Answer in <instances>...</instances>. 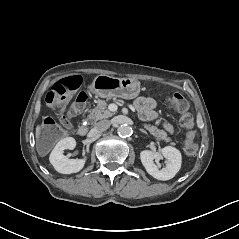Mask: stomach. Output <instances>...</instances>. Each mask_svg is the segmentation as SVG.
<instances>
[{
  "mask_svg": "<svg viewBox=\"0 0 239 239\" xmlns=\"http://www.w3.org/2000/svg\"><path fill=\"white\" fill-rule=\"evenodd\" d=\"M88 90L101 98L134 99L140 93V82L130 77L120 78L100 74L94 78Z\"/></svg>",
  "mask_w": 239,
  "mask_h": 239,
  "instance_id": "0dacf381",
  "label": "stomach"
}]
</instances>
